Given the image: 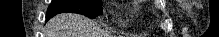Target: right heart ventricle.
I'll return each instance as SVG.
<instances>
[{
	"instance_id": "e07e8e85",
	"label": "right heart ventricle",
	"mask_w": 219,
	"mask_h": 37,
	"mask_svg": "<svg viewBox=\"0 0 219 37\" xmlns=\"http://www.w3.org/2000/svg\"><path fill=\"white\" fill-rule=\"evenodd\" d=\"M140 9H141V7H140V6H137V7L135 8V10H136L137 12H139V11H140Z\"/></svg>"
}]
</instances>
